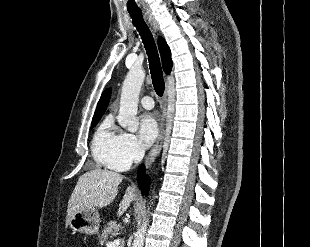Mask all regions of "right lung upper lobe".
I'll return each instance as SVG.
<instances>
[{
    "label": "right lung upper lobe",
    "instance_id": "right-lung-upper-lobe-1",
    "mask_svg": "<svg viewBox=\"0 0 310 247\" xmlns=\"http://www.w3.org/2000/svg\"><path fill=\"white\" fill-rule=\"evenodd\" d=\"M158 46L159 51L162 58V66L165 73L169 74L172 69V60H171V52L170 49L162 37L158 38ZM111 95V89H107L101 95V98L97 104V108L94 114V118L102 116L108 106L109 100Z\"/></svg>",
    "mask_w": 310,
    "mask_h": 247
}]
</instances>
